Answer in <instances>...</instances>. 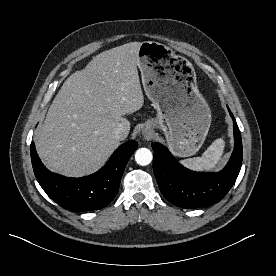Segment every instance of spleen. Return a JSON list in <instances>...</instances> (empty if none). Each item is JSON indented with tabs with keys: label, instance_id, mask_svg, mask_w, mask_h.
I'll return each mask as SVG.
<instances>
[{
	"label": "spleen",
	"instance_id": "1",
	"mask_svg": "<svg viewBox=\"0 0 276 276\" xmlns=\"http://www.w3.org/2000/svg\"><path fill=\"white\" fill-rule=\"evenodd\" d=\"M225 142L222 138L216 139L201 157L181 160L180 163L193 171L212 170L223 154Z\"/></svg>",
	"mask_w": 276,
	"mask_h": 276
}]
</instances>
